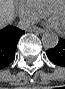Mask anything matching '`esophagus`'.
<instances>
[{"mask_svg": "<svg viewBox=\"0 0 65 89\" xmlns=\"http://www.w3.org/2000/svg\"><path fill=\"white\" fill-rule=\"evenodd\" d=\"M28 31H31V32H38V33H43V32H44L43 29L38 28V27H30V28L28 29Z\"/></svg>", "mask_w": 65, "mask_h": 89, "instance_id": "34e87169", "label": "esophagus"}]
</instances>
